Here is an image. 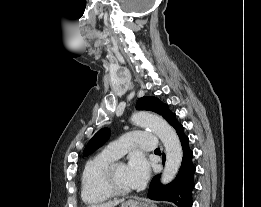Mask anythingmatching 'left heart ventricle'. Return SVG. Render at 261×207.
<instances>
[{
	"mask_svg": "<svg viewBox=\"0 0 261 207\" xmlns=\"http://www.w3.org/2000/svg\"><path fill=\"white\" fill-rule=\"evenodd\" d=\"M114 180L116 185L121 189H131V185L128 180L126 165L120 164L116 167L114 173Z\"/></svg>",
	"mask_w": 261,
	"mask_h": 207,
	"instance_id": "b2bd125f",
	"label": "left heart ventricle"
}]
</instances>
